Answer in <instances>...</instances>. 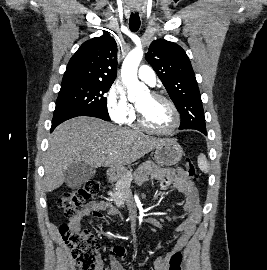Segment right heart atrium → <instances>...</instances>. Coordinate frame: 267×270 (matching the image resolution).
<instances>
[{"mask_svg": "<svg viewBox=\"0 0 267 270\" xmlns=\"http://www.w3.org/2000/svg\"><path fill=\"white\" fill-rule=\"evenodd\" d=\"M107 110L113 121L127 124L134 120L135 110L129 103L125 91L119 84H114L107 95Z\"/></svg>", "mask_w": 267, "mask_h": 270, "instance_id": "right-heart-atrium-1", "label": "right heart atrium"}]
</instances>
